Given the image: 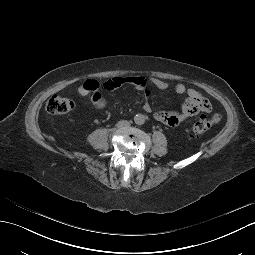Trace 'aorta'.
<instances>
[{
	"mask_svg": "<svg viewBox=\"0 0 255 255\" xmlns=\"http://www.w3.org/2000/svg\"><path fill=\"white\" fill-rule=\"evenodd\" d=\"M134 122H135L137 125H142V124H144V122H145V116L142 115V114H136L135 117H134Z\"/></svg>",
	"mask_w": 255,
	"mask_h": 255,
	"instance_id": "aorta-1",
	"label": "aorta"
}]
</instances>
